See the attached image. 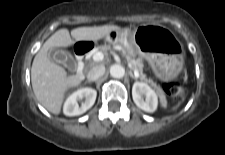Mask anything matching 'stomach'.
<instances>
[{
    "label": "stomach",
    "instance_id": "obj_1",
    "mask_svg": "<svg viewBox=\"0 0 225 155\" xmlns=\"http://www.w3.org/2000/svg\"><path fill=\"white\" fill-rule=\"evenodd\" d=\"M105 39L121 43L129 55L145 58L152 66L159 67L165 76L173 77L182 68V46L164 26L142 24L133 30L113 31Z\"/></svg>",
    "mask_w": 225,
    "mask_h": 155
}]
</instances>
